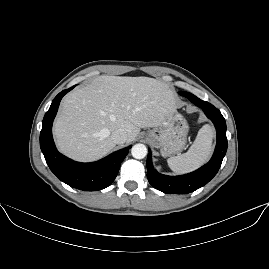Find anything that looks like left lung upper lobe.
Listing matches in <instances>:
<instances>
[{
  "label": "left lung upper lobe",
  "instance_id": "1",
  "mask_svg": "<svg viewBox=\"0 0 269 269\" xmlns=\"http://www.w3.org/2000/svg\"><path fill=\"white\" fill-rule=\"evenodd\" d=\"M180 95L187 97L191 102H193L197 97L191 93L181 92Z\"/></svg>",
  "mask_w": 269,
  "mask_h": 269
}]
</instances>
